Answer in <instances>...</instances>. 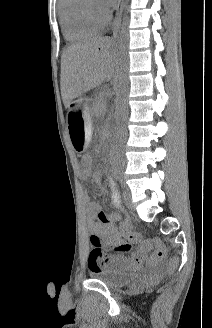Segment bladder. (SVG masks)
<instances>
[{"label": "bladder", "mask_w": 212, "mask_h": 328, "mask_svg": "<svg viewBox=\"0 0 212 328\" xmlns=\"http://www.w3.org/2000/svg\"><path fill=\"white\" fill-rule=\"evenodd\" d=\"M89 275L92 279L101 281L111 288H119L127 285L136 277L134 273L110 269L91 271Z\"/></svg>", "instance_id": "31cf9c89"}]
</instances>
